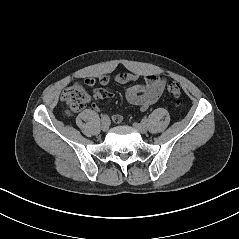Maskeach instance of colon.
<instances>
[{"label":"colon","mask_w":239,"mask_h":239,"mask_svg":"<svg viewBox=\"0 0 239 239\" xmlns=\"http://www.w3.org/2000/svg\"><path fill=\"white\" fill-rule=\"evenodd\" d=\"M87 85L93 87L95 83L93 80H90V83ZM167 90L170 96L174 99L175 105L180 106L182 103L180 85L176 81H169L167 84ZM88 100L89 95L86 89L79 83L68 87L62 93V101L67 105L69 112H77L83 109Z\"/></svg>","instance_id":"5ec220e1"}]
</instances>
